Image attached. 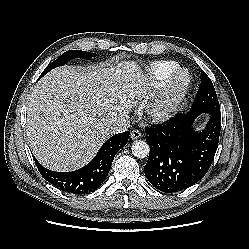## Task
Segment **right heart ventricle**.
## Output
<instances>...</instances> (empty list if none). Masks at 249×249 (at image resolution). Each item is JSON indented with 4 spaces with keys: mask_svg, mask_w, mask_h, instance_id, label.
<instances>
[{
    "mask_svg": "<svg viewBox=\"0 0 249 249\" xmlns=\"http://www.w3.org/2000/svg\"><path fill=\"white\" fill-rule=\"evenodd\" d=\"M179 65L175 61H156L148 68V74L154 87L160 86L166 77L178 68Z\"/></svg>",
    "mask_w": 249,
    "mask_h": 249,
    "instance_id": "right-heart-ventricle-1",
    "label": "right heart ventricle"
}]
</instances>
